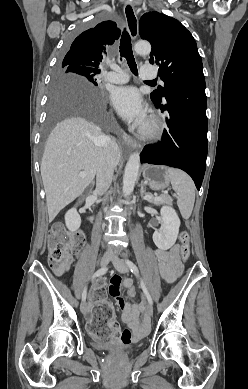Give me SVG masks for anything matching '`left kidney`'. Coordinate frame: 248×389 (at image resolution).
Wrapping results in <instances>:
<instances>
[{
	"instance_id": "left-kidney-1",
	"label": "left kidney",
	"mask_w": 248,
	"mask_h": 389,
	"mask_svg": "<svg viewBox=\"0 0 248 389\" xmlns=\"http://www.w3.org/2000/svg\"><path fill=\"white\" fill-rule=\"evenodd\" d=\"M162 226L153 234V242L161 250L170 249L176 242L180 219L176 211L169 206L161 208Z\"/></svg>"
}]
</instances>
